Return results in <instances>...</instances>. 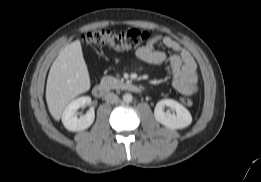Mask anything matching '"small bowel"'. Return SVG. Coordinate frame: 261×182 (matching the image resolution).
<instances>
[{
  "label": "small bowel",
  "instance_id": "obj_1",
  "mask_svg": "<svg viewBox=\"0 0 261 182\" xmlns=\"http://www.w3.org/2000/svg\"><path fill=\"white\" fill-rule=\"evenodd\" d=\"M164 46L173 51L167 59L159 49ZM135 56L148 64L160 65L168 60L174 89L183 95H194L198 91L196 63L191 54L175 39L155 35L135 52Z\"/></svg>",
  "mask_w": 261,
  "mask_h": 182
}]
</instances>
